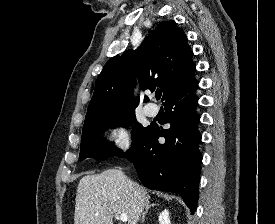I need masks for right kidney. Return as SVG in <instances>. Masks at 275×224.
Here are the masks:
<instances>
[{"instance_id": "obj_1", "label": "right kidney", "mask_w": 275, "mask_h": 224, "mask_svg": "<svg viewBox=\"0 0 275 224\" xmlns=\"http://www.w3.org/2000/svg\"><path fill=\"white\" fill-rule=\"evenodd\" d=\"M159 224H171L170 217H169V211L165 209L162 211L159 215Z\"/></svg>"}]
</instances>
